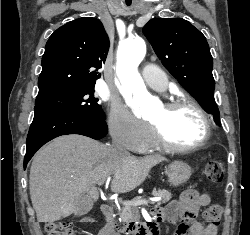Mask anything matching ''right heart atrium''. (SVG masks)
I'll list each match as a JSON object with an SVG mask.
<instances>
[{
  "instance_id": "obj_1",
  "label": "right heart atrium",
  "mask_w": 250,
  "mask_h": 235,
  "mask_svg": "<svg viewBox=\"0 0 250 235\" xmlns=\"http://www.w3.org/2000/svg\"><path fill=\"white\" fill-rule=\"evenodd\" d=\"M107 124L113 140L131 151L142 150L152 135L146 124L137 120L118 103L112 104Z\"/></svg>"
}]
</instances>
